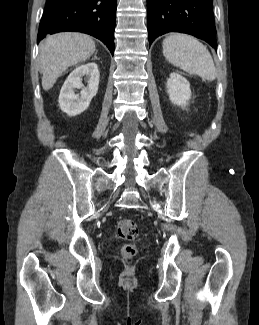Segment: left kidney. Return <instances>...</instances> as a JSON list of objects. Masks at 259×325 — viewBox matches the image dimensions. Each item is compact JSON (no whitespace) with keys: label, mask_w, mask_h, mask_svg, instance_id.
Segmentation results:
<instances>
[{"label":"left kidney","mask_w":259,"mask_h":325,"mask_svg":"<svg viewBox=\"0 0 259 325\" xmlns=\"http://www.w3.org/2000/svg\"><path fill=\"white\" fill-rule=\"evenodd\" d=\"M167 93L174 105L184 108L187 101L191 98L190 84L181 75L172 73L167 81Z\"/></svg>","instance_id":"left-kidney-1"}]
</instances>
